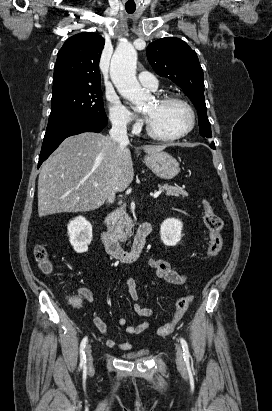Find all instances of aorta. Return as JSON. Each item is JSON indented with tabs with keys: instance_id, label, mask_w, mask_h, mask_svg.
<instances>
[{
	"instance_id": "762f6f07",
	"label": "aorta",
	"mask_w": 272,
	"mask_h": 411,
	"mask_svg": "<svg viewBox=\"0 0 272 411\" xmlns=\"http://www.w3.org/2000/svg\"><path fill=\"white\" fill-rule=\"evenodd\" d=\"M137 52L131 44H122L114 52L110 76L122 97L137 108L145 104L148 94L136 79Z\"/></svg>"
}]
</instances>
